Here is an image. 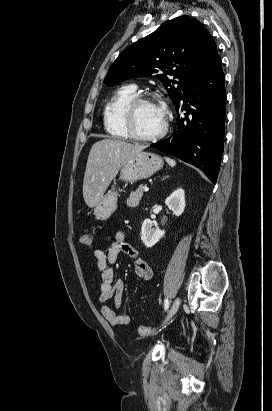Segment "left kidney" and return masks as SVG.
<instances>
[{"mask_svg":"<svg viewBox=\"0 0 272 411\" xmlns=\"http://www.w3.org/2000/svg\"><path fill=\"white\" fill-rule=\"evenodd\" d=\"M165 204L173 211L176 216H180L185 209V192L183 189L175 190L169 197L166 198ZM165 231L159 228H154V224L150 219H145L141 228V240L146 247L154 246L163 236Z\"/></svg>","mask_w":272,"mask_h":411,"instance_id":"obj_1","label":"left kidney"}]
</instances>
